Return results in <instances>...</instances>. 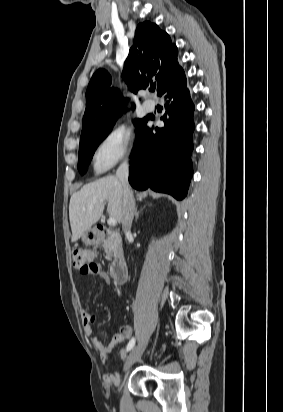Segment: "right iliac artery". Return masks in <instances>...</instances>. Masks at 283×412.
<instances>
[{
	"label": "right iliac artery",
	"instance_id": "right-iliac-artery-1",
	"mask_svg": "<svg viewBox=\"0 0 283 412\" xmlns=\"http://www.w3.org/2000/svg\"><path fill=\"white\" fill-rule=\"evenodd\" d=\"M134 345H135V338H132L130 342L128 343L126 350L130 351L134 347Z\"/></svg>",
	"mask_w": 283,
	"mask_h": 412
}]
</instances>
